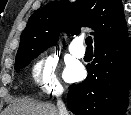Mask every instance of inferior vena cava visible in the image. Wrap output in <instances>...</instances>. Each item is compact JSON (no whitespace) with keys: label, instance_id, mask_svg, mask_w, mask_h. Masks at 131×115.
<instances>
[{"label":"inferior vena cava","instance_id":"602c4592","mask_svg":"<svg viewBox=\"0 0 131 115\" xmlns=\"http://www.w3.org/2000/svg\"><path fill=\"white\" fill-rule=\"evenodd\" d=\"M57 96H60V94H58ZM57 106H58L60 115H68V112L64 106V103L61 100H58Z\"/></svg>","mask_w":131,"mask_h":115}]
</instances>
